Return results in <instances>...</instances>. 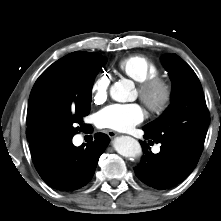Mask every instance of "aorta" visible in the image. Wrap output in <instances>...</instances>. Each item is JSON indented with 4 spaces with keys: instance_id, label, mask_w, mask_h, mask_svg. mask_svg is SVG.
<instances>
[{
    "instance_id": "762f6f07",
    "label": "aorta",
    "mask_w": 221,
    "mask_h": 221,
    "mask_svg": "<svg viewBox=\"0 0 221 221\" xmlns=\"http://www.w3.org/2000/svg\"><path fill=\"white\" fill-rule=\"evenodd\" d=\"M134 85L129 80L116 82L110 89V95L117 102H127L131 99ZM115 150L122 156L136 158L142 155V149L137 140L129 136L117 137L114 140Z\"/></svg>"
}]
</instances>
